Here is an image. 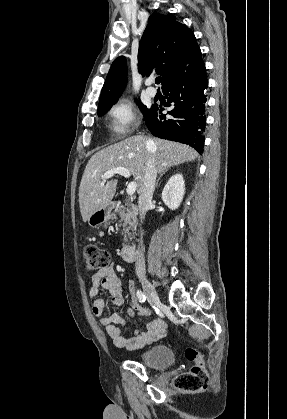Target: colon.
<instances>
[{"mask_svg":"<svg viewBox=\"0 0 287 419\" xmlns=\"http://www.w3.org/2000/svg\"><path fill=\"white\" fill-rule=\"evenodd\" d=\"M83 260L86 271L94 272L108 266L110 255L106 250L96 245H88L83 249ZM185 356L194 364L189 371L174 378V386L187 391L204 389L208 384V373L202 356L193 348L186 349Z\"/></svg>","mask_w":287,"mask_h":419,"instance_id":"obj_1","label":"colon"}]
</instances>
